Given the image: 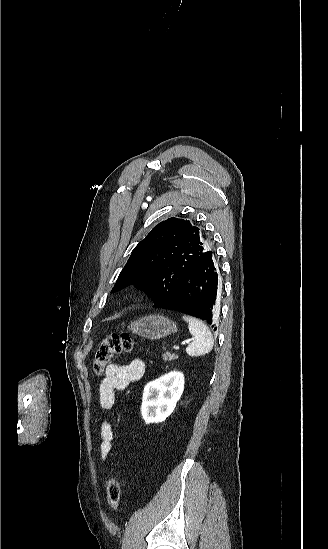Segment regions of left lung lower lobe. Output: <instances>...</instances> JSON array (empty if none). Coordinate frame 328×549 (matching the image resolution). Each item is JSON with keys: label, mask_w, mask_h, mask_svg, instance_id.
<instances>
[{"label": "left lung lower lobe", "mask_w": 328, "mask_h": 549, "mask_svg": "<svg viewBox=\"0 0 328 549\" xmlns=\"http://www.w3.org/2000/svg\"><path fill=\"white\" fill-rule=\"evenodd\" d=\"M219 290L212 251H207L180 278L172 293L156 300L154 307L181 312L212 324Z\"/></svg>", "instance_id": "left-lung-lower-lobe-1"}]
</instances>
